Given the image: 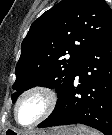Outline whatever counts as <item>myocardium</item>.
<instances>
[{
    "label": "myocardium",
    "mask_w": 112,
    "mask_h": 135,
    "mask_svg": "<svg viewBox=\"0 0 112 135\" xmlns=\"http://www.w3.org/2000/svg\"><path fill=\"white\" fill-rule=\"evenodd\" d=\"M31 94H40L42 96H44L45 100H46V108L44 110V112L42 113V115L35 120L34 122L30 123V124H22L19 122L18 118H17V109L18 106L20 104V102L27 96L31 95ZM58 102V97L56 92L46 86V85H35L32 87H29L28 89L24 90L19 97L17 98L15 104H14V108H13V116L14 119L16 121V123L24 128H32L37 126L38 124L42 123L43 121H45L55 110L56 105Z\"/></svg>",
    "instance_id": "f54148a6"
}]
</instances>
